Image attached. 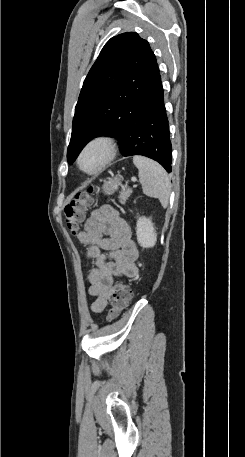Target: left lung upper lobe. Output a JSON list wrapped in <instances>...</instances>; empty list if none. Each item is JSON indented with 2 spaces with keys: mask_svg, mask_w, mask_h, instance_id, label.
Returning a JSON list of instances; mask_svg holds the SVG:
<instances>
[{
  "mask_svg": "<svg viewBox=\"0 0 245 457\" xmlns=\"http://www.w3.org/2000/svg\"><path fill=\"white\" fill-rule=\"evenodd\" d=\"M158 72L149 43L137 33L117 35L105 44L85 78L75 108L69 164L88 141L144 103Z\"/></svg>",
  "mask_w": 245,
  "mask_h": 457,
  "instance_id": "left-lung-upper-lobe-1",
  "label": "left lung upper lobe"
}]
</instances>
